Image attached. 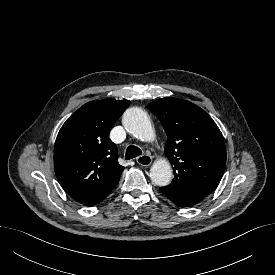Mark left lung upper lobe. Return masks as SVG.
Listing matches in <instances>:
<instances>
[{
  "instance_id": "left-lung-upper-lobe-1",
  "label": "left lung upper lobe",
  "mask_w": 275,
  "mask_h": 275,
  "mask_svg": "<svg viewBox=\"0 0 275 275\" xmlns=\"http://www.w3.org/2000/svg\"><path fill=\"white\" fill-rule=\"evenodd\" d=\"M147 108L167 134L164 153L173 165L174 178L165 190L210 194L218 186L226 165L223 135L200 107L176 98L157 99Z\"/></svg>"
}]
</instances>
